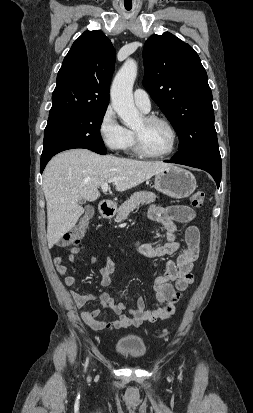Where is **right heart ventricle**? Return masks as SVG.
I'll return each instance as SVG.
<instances>
[{
	"label": "right heart ventricle",
	"mask_w": 253,
	"mask_h": 413,
	"mask_svg": "<svg viewBox=\"0 0 253 413\" xmlns=\"http://www.w3.org/2000/svg\"><path fill=\"white\" fill-rule=\"evenodd\" d=\"M131 134H132V137H131V142H130V145H129V147L128 148H132V149H134V146H135V144H134V136H133V133L131 132Z\"/></svg>",
	"instance_id": "1"
}]
</instances>
